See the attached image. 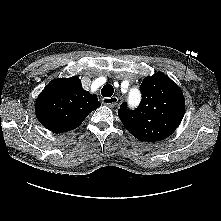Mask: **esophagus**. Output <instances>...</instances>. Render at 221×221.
I'll use <instances>...</instances> for the list:
<instances>
[{"label": "esophagus", "instance_id": "1", "mask_svg": "<svg viewBox=\"0 0 221 221\" xmlns=\"http://www.w3.org/2000/svg\"><path fill=\"white\" fill-rule=\"evenodd\" d=\"M117 102H118V98H117L116 96H113V97H104V98L102 99V103H103L104 105L109 106V107L115 106V105L117 104Z\"/></svg>", "mask_w": 221, "mask_h": 221}]
</instances>
